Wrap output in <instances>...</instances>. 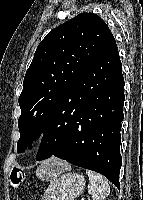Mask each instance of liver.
<instances>
[{"label":"liver","instance_id":"liver-1","mask_svg":"<svg viewBox=\"0 0 143 200\" xmlns=\"http://www.w3.org/2000/svg\"><path fill=\"white\" fill-rule=\"evenodd\" d=\"M58 167L54 169L53 166ZM69 164L61 161L55 157H52L46 161H44L41 166H39L36 170V176L38 179L45 180L50 179L51 177L57 175L61 170L69 168Z\"/></svg>","mask_w":143,"mask_h":200}]
</instances>
